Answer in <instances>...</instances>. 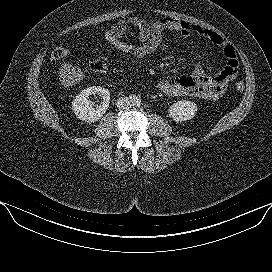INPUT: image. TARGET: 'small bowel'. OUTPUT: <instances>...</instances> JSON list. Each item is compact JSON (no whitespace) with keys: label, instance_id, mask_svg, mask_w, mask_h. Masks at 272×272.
Wrapping results in <instances>:
<instances>
[{"label":"small bowel","instance_id":"c3829d8e","mask_svg":"<svg viewBox=\"0 0 272 272\" xmlns=\"http://www.w3.org/2000/svg\"><path fill=\"white\" fill-rule=\"evenodd\" d=\"M110 30L140 41H154L162 45L163 49L166 46L163 38L166 31H176L184 38L198 35L221 48L226 59L225 67L221 71L209 75L198 62L190 75L164 79L158 83V90L167 96L216 100L223 96L228 83L237 75L238 58L235 48L222 35L204 26L171 17H163L148 23L142 18L133 16L120 20Z\"/></svg>","mask_w":272,"mask_h":272}]
</instances>
